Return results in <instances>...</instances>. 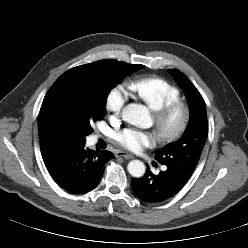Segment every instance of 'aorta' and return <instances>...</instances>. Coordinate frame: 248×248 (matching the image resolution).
Here are the masks:
<instances>
[{
  "label": "aorta",
  "mask_w": 248,
  "mask_h": 248,
  "mask_svg": "<svg viewBox=\"0 0 248 248\" xmlns=\"http://www.w3.org/2000/svg\"><path fill=\"white\" fill-rule=\"evenodd\" d=\"M122 118L129 124L146 128L151 124V118L147 107L131 103L122 112ZM128 172L135 178H140L145 174L146 167L140 160H132L127 166Z\"/></svg>",
  "instance_id": "762f6f07"
}]
</instances>
